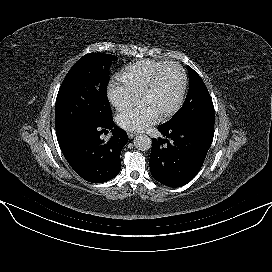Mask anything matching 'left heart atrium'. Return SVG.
Segmentation results:
<instances>
[{
	"label": "left heart atrium",
	"mask_w": 272,
	"mask_h": 272,
	"mask_svg": "<svg viewBox=\"0 0 272 272\" xmlns=\"http://www.w3.org/2000/svg\"><path fill=\"white\" fill-rule=\"evenodd\" d=\"M159 115L146 103L138 105L121 112L116 117L118 126L125 130L141 131L155 123Z\"/></svg>",
	"instance_id": "39dd6f15"
}]
</instances>
